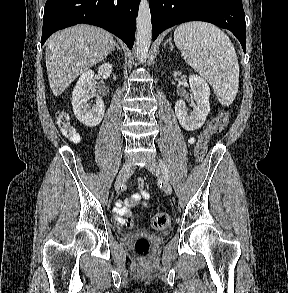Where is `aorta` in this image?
<instances>
[{
  "mask_svg": "<svg viewBox=\"0 0 288 293\" xmlns=\"http://www.w3.org/2000/svg\"><path fill=\"white\" fill-rule=\"evenodd\" d=\"M136 52L140 63H145L152 39L151 14L148 0H141L136 25Z\"/></svg>",
  "mask_w": 288,
  "mask_h": 293,
  "instance_id": "aorta-1",
  "label": "aorta"
}]
</instances>
